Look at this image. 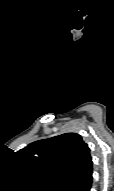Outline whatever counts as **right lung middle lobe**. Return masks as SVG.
Masks as SVG:
<instances>
[{
    "label": "right lung middle lobe",
    "mask_w": 114,
    "mask_h": 191,
    "mask_svg": "<svg viewBox=\"0 0 114 191\" xmlns=\"http://www.w3.org/2000/svg\"><path fill=\"white\" fill-rule=\"evenodd\" d=\"M43 190H46V191H57L58 188L57 187H50V188H44Z\"/></svg>",
    "instance_id": "dd1d6c3e"
}]
</instances>
